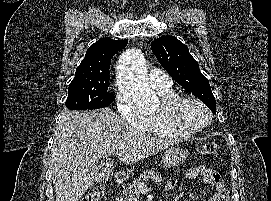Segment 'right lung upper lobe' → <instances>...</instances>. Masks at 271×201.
<instances>
[{
    "mask_svg": "<svg viewBox=\"0 0 271 201\" xmlns=\"http://www.w3.org/2000/svg\"><path fill=\"white\" fill-rule=\"evenodd\" d=\"M127 43L128 40L99 39L88 48L85 58L76 69L75 76L109 74L111 58Z\"/></svg>",
    "mask_w": 271,
    "mask_h": 201,
    "instance_id": "obj_1",
    "label": "right lung upper lobe"
}]
</instances>
